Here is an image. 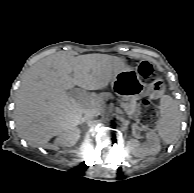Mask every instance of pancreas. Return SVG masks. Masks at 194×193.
Returning <instances> with one entry per match:
<instances>
[{"label":"pancreas","instance_id":"obj_1","mask_svg":"<svg viewBox=\"0 0 194 193\" xmlns=\"http://www.w3.org/2000/svg\"><path fill=\"white\" fill-rule=\"evenodd\" d=\"M124 111H126L129 115L136 116V112L138 109V105L134 101H130L123 99L121 105H119Z\"/></svg>","mask_w":194,"mask_h":193}]
</instances>
